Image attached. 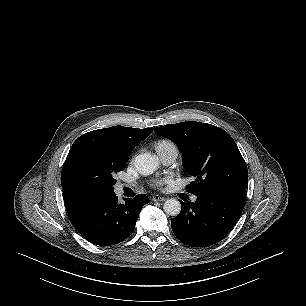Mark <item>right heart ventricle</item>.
<instances>
[{
    "label": "right heart ventricle",
    "instance_id": "1",
    "mask_svg": "<svg viewBox=\"0 0 306 306\" xmlns=\"http://www.w3.org/2000/svg\"><path fill=\"white\" fill-rule=\"evenodd\" d=\"M170 146H175L172 142L168 140H160L155 144L156 151L168 148Z\"/></svg>",
    "mask_w": 306,
    "mask_h": 306
}]
</instances>
